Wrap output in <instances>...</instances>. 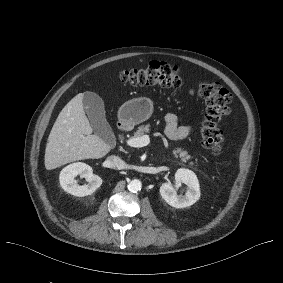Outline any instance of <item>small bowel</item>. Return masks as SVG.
Listing matches in <instances>:
<instances>
[{"mask_svg": "<svg viewBox=\"0 0 283 283\" xmlns=\"http://www.w3.org/2000/svg\"><path fill=\"white\" fill-rule=\"evenodd\" d=\"M194 90H189V95H193ZM165 133L167 137L173 141L183 140L188 137L192 131L191 126H179L178 117L174 113H167L164 118Z\"/></svg>", "mask_w": 283, "mask_h": 283, "instance_id": "obj_1", "label": "small bowel"}]
</instances>
